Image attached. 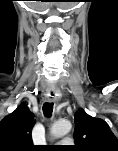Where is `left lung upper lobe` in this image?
<instances>
[{
  "instance_id": "obj_1",
  "label": "left lung upper lobe",
  "mask_w": 118,
  "mask_h": 151,
  "mask_svg": "<svg viewBox=\"0 0 118 151\" xmlns=\"http://www.w3.org/2000/svg\"><path fill=\"white\" fill-rule=\"evenodd\" d=\"M75 147L79 151H118V139L108 124L88 115L83 109L75 113Z\"/></svg>"
}]
</instances>
